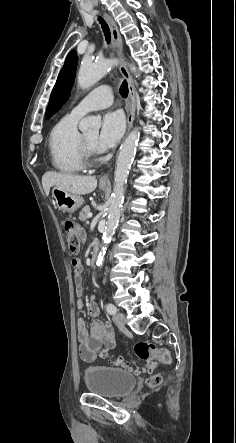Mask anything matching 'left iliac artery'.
<instances>
[{"instance_id": "1", "label": "left iliac artery", "mask_w": 236, "mask_h": 443, "mask_svg": "<svg viewBox=\"0 0 236 443\" xmlns=\"http://www.w3.org/2000/svg\"><path fill=\"white\" fill-rule=\"evenodd\" d=\"M106 311H107L109 314L113 315V314H115V313L117 312V308H116V306H115L114 304H112V303H107V304H106Z\"/></svg>"}]
</instances>
